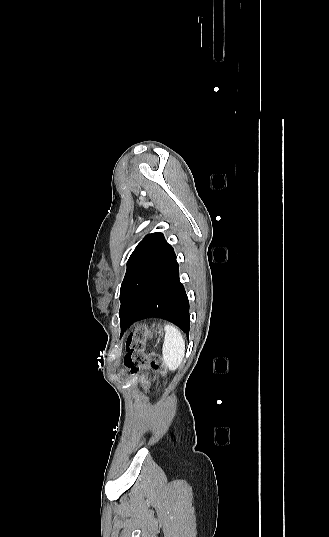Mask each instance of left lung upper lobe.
I'll list each match as a JSON object with an SVG mask.
<instances>
[{
  "mask_svg": "<svg viewBox=\"0 0 329 537\" xmlns=\"http://www.w3.org/2000/svg\"><path fill=\"white\" fill-rule=\"evenodd\" d=\"M174 250L162 233L148 234L137 245L127 262L120 290V321L137 304L143 292L174 258Z\"/></svg>",
  "mask_w": 329,
  "mask_h": 537,
  "instance_id": "obj_1",
  "label": "left lung upper lobe"
}]
</instances>
